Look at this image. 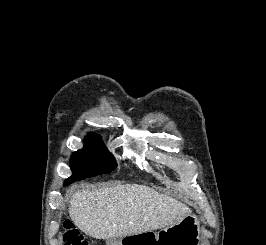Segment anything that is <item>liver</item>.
<instances>
[{"mask_svg":"<svg viewBox=\"0 0 266 245\" xmlns=\"http://www.w3.org/2000/svg\"><path fill=\"white\" fill-rule=\"evenodd\" d=\"M70 217L93 239H121L176 225L192 213L168 195L145 185L114 183L102 189L86 187L73 195Z\"/></svg>","mask_w":266,"mask_h":245,"instance_id":"liver-1","label":"liver"}]
</instances>
